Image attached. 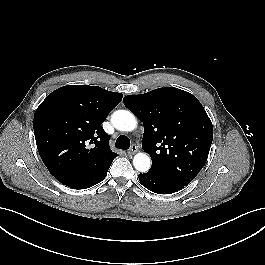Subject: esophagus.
Returning <instances> with one entry per match:
<instances>
[{"label":"esophagus","instance_id":"obj_1","mask_svg":"<svg viewBox=\"0 0 265 265\" xmlns=\"http://www.w3.org/2000/svg\"><path fill=\"white\" fill-rule=\"evenodd\" d=\"M138 151V148L135 144L131 146V148L128 150V155H134Z\"/></svg>","mask_w":265,"mask_h":265}]
</instances>
